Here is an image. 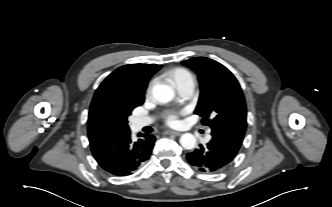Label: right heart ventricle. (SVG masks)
Here are the masks:
<instances>
[{"label": "right heart ventricle", "mask_w": 332, "mask_h": 207, "mask_svg": "<svg viewBox=\"0 0 332 207\" xmlns=\"http://www.w3.org/2000/svg\"><path fill=\"white\" fill-rule=\"evenodd\" d=\"M166 76L177 90L186 81L193 80L191 73L184 68L171 69L166 72Z\"/></svg>", "instance_id": "1"}]
</instances>
